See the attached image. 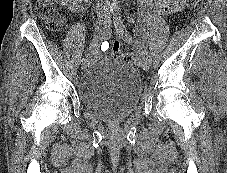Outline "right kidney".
<instances>
[{"mask_svg": "<svg viewBox=\"0 0 227 173\" xmlns=\"http://www.w3.org/2000/svg\"><path fill=\"white\" fill-rule=\"evenodd\" d=\"M82 0H59L61 6H73Z\"/></svg>", "mask_w": 227, "mask_h": 173, "instance_id": "obj_1", "label": "right kidney"}]
</instances>
